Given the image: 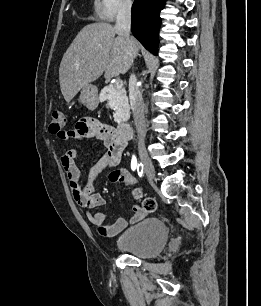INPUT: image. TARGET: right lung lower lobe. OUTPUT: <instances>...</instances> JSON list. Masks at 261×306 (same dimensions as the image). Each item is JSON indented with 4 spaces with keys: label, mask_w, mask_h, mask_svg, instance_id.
<instances>
[{
    "label": "right lung lower lobe",
    "mask_w": 261,
    "mask_h": 306,
    "mask_svg": "<svg viewBox=\"0 0 261 306\" xmlns=\"http://www.w3.org/2000/svg\"><path fill=\"white\" fill-rule=\"evenodd\" d=\"M166 0H135L132 5V33L142 45L157 55L159 13Z\"/></svg>",
    "instance_id": "right-lung-lower-lobe-1"
}]
</instances>
